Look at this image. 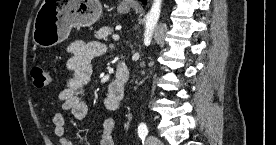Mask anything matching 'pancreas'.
Returning <instances> with one entry per match:
<instances>
[{"label": "pancreas", "instance_id": "cf45deb5", "mask_svg": "<svg viewBox=\"0 0 276 145\" xmlns=\"http://www.w3.org/2000/svg\"><path fill=\"white\" fill-rule=\"evenodd\" d=\"M113 29L109 26H104L101 29H99L97 32H95V38L98 40H106L110 34H112Z\"/></svg>", "mask_w": 276, "mask_h": 145}]
</instances>
